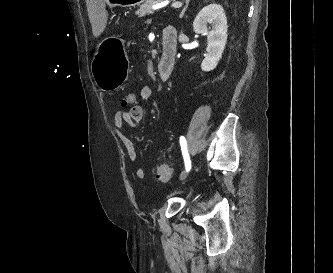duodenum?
Listing matches in <instances>:
<instances>
[{
	"mask_svg": "<svg viewBox=\"0 0 333 273\" xmlns=\"http://www.w3.org/2000/svg\"><path fill=\"white\" fill-rule=\"evenodd\" d=\"M177 46V30L172 26H166L163 30L161 57L157 65V73L162 81H167L173 73Z\"/></svg>",
	"mask_w": 333,
	"mask_h": 273,
	"instance_id": "obj_1",
	"label": "duodenum"
}]
</instances>
